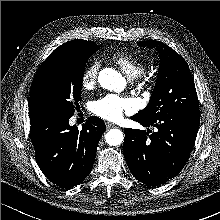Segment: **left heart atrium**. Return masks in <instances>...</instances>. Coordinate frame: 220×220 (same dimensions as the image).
Wrapping results in <instances>:
<instances>
[{"mask_svg":"<svg viewBox=\"0 0 220 220\" xmlns=\"http://www.w3.org/2000/svg\"><path fill=\"white\" fill-rule=\"evenodd\" d=\"M133 110L134 102L131 99L115 94L99 98L91 105L94 114L111 121L118 120L124 113H131Z\"/></svg>","mask_w":220,"mask_h":220,"instance_id":"obj_1","label":"left heart atrium"}]
</instances>
